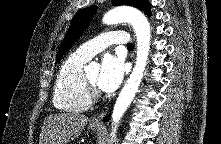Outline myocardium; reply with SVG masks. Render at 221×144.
I'll return each instance as SVG.
<instances>
[{
	"label": "myocardium",
	"instance_id": "f54148a6",
	"mask_svg": "<svg viewBox=\"0 0 221 144\" xmlns=\"http://www.w3.org/2000/svg\"><path fill=\"white\" fill-rule=\"evenodd\" d=\"M83 81L85 85V91L88 96V98L92 101L98 98L99 93L95 87V84H93L87 77V75L83 74Z\"/></svg>",
	"mask_w": 221,
	"mask_h": 144
}]
</instances>
